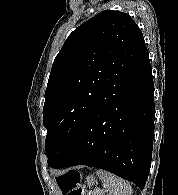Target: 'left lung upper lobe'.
I'll return each mask as SVG.
<instances>
[{
  "label": "left lung upper lobe",
  "instance_id": "left-lung-upper-lobe-1",
  "mask_svg": "<svg viewBox=\"0 0 178 195\" xmlns=\"http://www.w3.org/2000/svg\"><path fill=\"white\" fill-rule=\"evenodd\" d=\"M143 34L126 13L105 10L67 38L45 91V150L54 167L83 132L92 114L146 59Z\"/></svg>",
  "mask_w": 178,
  "mask_h": 195
}]
</instances>
